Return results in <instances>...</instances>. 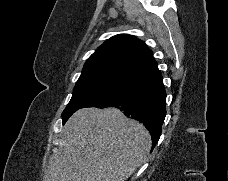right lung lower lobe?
<instances>
[{"instance_id":"1","label":"right lung lower lobe","mask_w":228,"mask_h":181,"mask_svg":"<svg viewBox=\"0 0 228 181\" xmlns=\"http://www.w3.org/2000/svg\"><path fill=\"white\" fill-rule=\"evenodd\" d=\"M165 105L166 92L161 72L156 66L132 79L115 97L95 107H115L127 117L143 123L150 131L153 149L161 135Z\"/></svg>"}]
</instances>
